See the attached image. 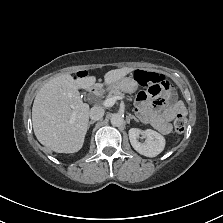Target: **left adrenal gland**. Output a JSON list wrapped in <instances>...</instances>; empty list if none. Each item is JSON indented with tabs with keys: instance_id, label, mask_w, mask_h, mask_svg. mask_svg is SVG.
Instances as JSON below:
<instances>
[{
	"instance_id": "a2214340",
	"label": "left adrenal gland",
	"mask_w": 223,
	"mask_h": 223,
	"mask_svg": "<svg viewBox=\"0 0 223 223\" xmlns=\"http://www.w3.org/2000/svg\"><path fill=\"white\" fill-rule=\"evenodd\" d=\"M128 115H129V118L134 119V121H135V122H138V120L136 119V117H135V116L130 115L129 113H128Z\"/></svg>"
}]
</instances>
